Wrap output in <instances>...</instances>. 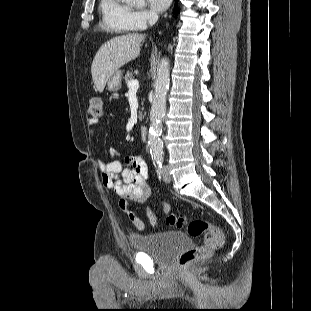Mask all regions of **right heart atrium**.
Instances as JSON below:
<instances>
[{"label": "right heart atrium", "instance_id": "1", "mask_svg": "<svg viewBox=\"0 0 311 311\" xmlns=\"http://www.w3.org/2000/svg\"><path fill=\"white\" fill-rule=\"evenodd\" d=\"M156 15L146 9L134 10L130 12L129 21L133 30H143L147 25L154 22Z\"/></svg>", "mask_w": 311, "mask_h": 311}]
</instances>
